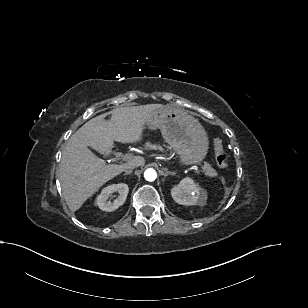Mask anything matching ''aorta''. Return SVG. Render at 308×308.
I'll use <instances>...</instances> for the list:
<instances>
[{
    "label": "aorta",
    "instance_id": "obj_1",
    "mask_svg": "<svg viewBox=\"0 0 308 308\" xmlns=\"http://www.w3.org/2000/svg\"><path fill=\"white\" fill-rule=\"evenodd\" d=\"M144 178L150 182L154 181L157 178V173L152 168L146 169L144 172Z\"/></svg>",
    "mask_w": 308,
    "mask_h": 308
}]
</instances>
